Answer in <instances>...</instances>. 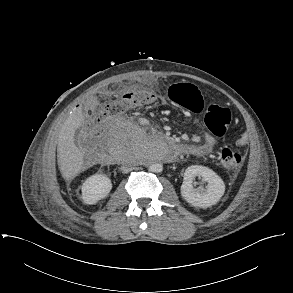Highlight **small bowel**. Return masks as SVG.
<instances>
[{
  "label": "small bowel",
  "instance_id": "obj_1",
  "mask_svg": "<svg viewBox=\"0 0 293 293\" xmlns=\"http://www.w3.org/2000/svg\"><path fill=\"white\" fill-rule=\"evenodd\" d=\"M144 125L147 123L144 121ZM245 143L244 137H240L237 140V144L243 145ZM215 146V139L210 134H205L203 138L197 137L195 143L189 144L185 153L192 155H207L212 152Z\"/></svg>",
  "mask_w": 293,
  "mask_h": 293
}]
</instances>
